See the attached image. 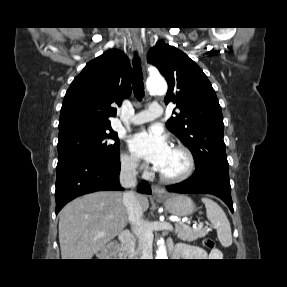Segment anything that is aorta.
<instances>
[{
    "label": "aorta",
    "mask_w": 287,
    "mask_h": 287,
    "mask_svg": "<svg viewBox=\"0 0 287 287\" xmlns=\"http://www.w3.org/2000/svg\"><path fill=\"white\" fill-rule=\"evenodd\" d=\"M147 89L152 93L164 94L167 91V84L162 78L149 79L147 81ZM157 259H167V251L164 240L158 241Z\"/></svg>",
    "instance_id": "1"
}]
</instances>
